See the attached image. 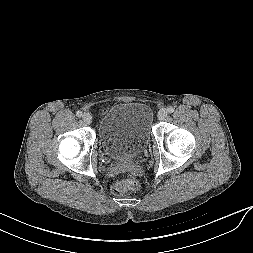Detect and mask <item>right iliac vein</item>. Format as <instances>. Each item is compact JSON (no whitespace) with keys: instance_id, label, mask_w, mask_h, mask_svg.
Instances as JSON below:
<instances>
[{"instance_id":"63e3f726","label":"right iliac vein","mask_w":253,"mask_h":253,"mask_svg":"<svg viewBox=\"0 0 253 253\" xmlns=\"http://www.w3.org/2000/svg\"><path fill=\"white\" fill-rule=\"evenodd\" d=\"M82 120H83V122H84L85 124L89 125V124H91V122H92V117H91L90 114L85 113V114H83V116H82Z\"/></svg>"}]
</instances>
